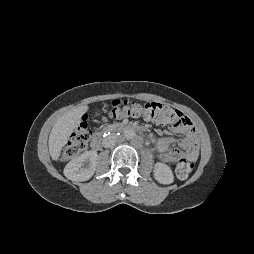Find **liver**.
I'll list each match as a JSON object with an SVG mask.
<instances>
[{
	"mask_svg": "<svg viewBox=\"0 0 254 254\" xmlns=\"http://www.w3.org/2000/svg\"><path fill=\"white\" fill-rule=\"evenodd\" d=\"M88 109L87 105L74 108L57 120L48 140L49 153L53 160H58L62 148L66 145L71 133L79 125L81 116Z\"/></svg>",
	"mask_w": 254,
	"mask_h": 254,
	"instance_id": "1",
	"label": "liver"
}]
</instances>
